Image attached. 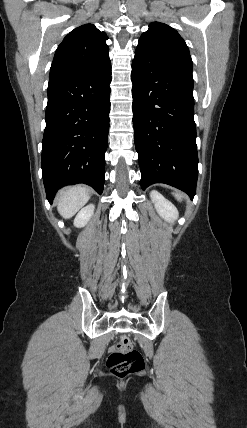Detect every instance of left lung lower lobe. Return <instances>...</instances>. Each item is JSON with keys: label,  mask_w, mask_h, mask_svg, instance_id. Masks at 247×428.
<instances>
[{"label": "left lung lower lobe", "mask_w": 247, "mask_h": 428, "mask_svg": "<svg viewBox=\"0 0 247 428\" xmlns=\"http://www.w3.org/2000/svg\"><path fill=\"white\" fill-rule=\"evenodd\" d=\"M131 80L142 189L165 183L193 199L198 155L192 73L135 51Z\"/></svg>", "instance_id": "0a47b994"}]
</instances>
